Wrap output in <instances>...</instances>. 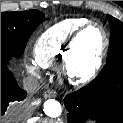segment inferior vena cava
<instances>
[{"instance_id": "obj_1", "label": "inferior vena cava", "mask_w": 123, "mask_h": 123, "mask_svg": "<svg viewBox=\"0 0 123 123\" xmlns=\"http://www.w3.org/2000/svg\"><path fill=\"white\" fill-rule=\"evenodd\" d=\"M23 88L30 94H35L40 89L39 81L34 77H25L23 79Z\"/></svg>"}]
</instances>
